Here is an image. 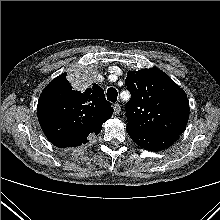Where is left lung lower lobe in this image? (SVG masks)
Wrapping results in <instances>:
<instances>
[{"mask_svg":"<svg viewBox=\"0 0 220 220\" xmlns=\"http://www.w3.org/2000/svg\"><path fill=\"white\" fill-rule=\"evenodd\" d=\"M126 130L131 139L142 148L149 151H160L164 150L174 144L179 136H160L137 132L126 127Z\"/></svg>","mask_w":220,"mask_h":220,"instance_id":"obj_1","label":"left lung lower lobe"}]
</instances>
